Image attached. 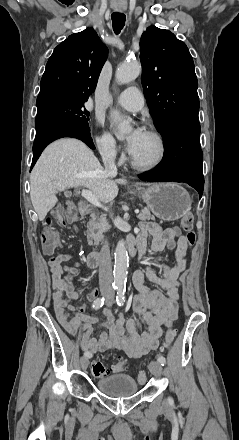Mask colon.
Segmentation results:
<instances>
[{
    "label": "colon",
    "mask_w": 239,
    "mask_h": 440,
    "mask_svg": "<svg viewBox=\"0 0 239 440\" xmlns=\"http://www.w3.org/2000/svg\"><path fill=\"white\" fill-rule=\"evenodd\" d=\"M54 218L59 223H70L73 224L77 222L78 215L75 210V207L72 203H68L65 206H59L56 208L54 212ZM181 228L188 232L187 239L190 244H193L195 241V234L192 231L193 229V216L191 214H185L182 216L180 220ZM59 245V236L58 234L47 228L42 234V247L43 251L46 254H51ZM70 273L75 272V267H71L68 269ZM176 336V331L173 328H169L165 333V344L163 349H168L174 341ZM126 368V363L124 361H120L115 364L113 367H108L103 364L99 360H95L91 365V372L95 377H104L110 374L111 371L114 372H122ZM146 379V375L144 373H140L138 376V380L140 382H144Z\"/></svg>",
    "instance_id": "1"
}]
</instances>
